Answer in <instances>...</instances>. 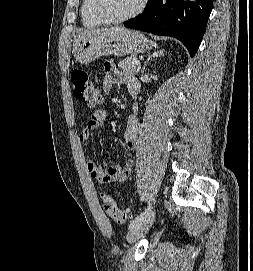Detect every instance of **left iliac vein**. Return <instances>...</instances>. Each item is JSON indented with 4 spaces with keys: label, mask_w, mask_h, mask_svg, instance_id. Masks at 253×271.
I'll list each match as a JSON object with an SVG mask.
<instances>
[{
    "label": "left iliac vein",
    "mask_w": 253,
    "mask_h": 271,
    "mask_svg": "<svg viewBox=\"0 0 253 271\" xmlns=\"http://www.w3.org/2000/svg\"><path fill=\"white\" fill-rule=\"evenodd\" d=\"M155 220V211H150L149 215L145 217L142 221L132 227L127 233V241L129 243H134L138 241L143 235L149 230Z\"/></svg>",
    "instance_id": "left-iliac-vein-1"
}]
</instances>
